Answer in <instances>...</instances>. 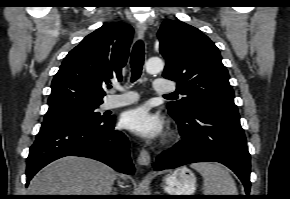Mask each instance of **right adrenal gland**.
I'll list each match as a JSON object with an SVG mask.
<instances>
[{
    "label": "right adrenal gland",
    "mask_w": 290,
    "mask_h": 199,
    "mask_svg": "<svg viewBox=\"0 0 290 199\" xmlns=\"http://www.w3.org/2000/svg\"><path fill=\"white\" fill-rule=\"evenodd\" d=\"M110 195H116V188H113V193H111Z\"/></svg>",
    "instance_id": "obj_1"
}]
</instances>
